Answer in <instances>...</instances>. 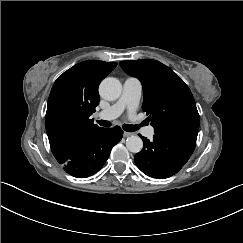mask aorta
Returning <instances> with one entry per match:
<instances>
[{"mask_svg": "<svg viewBox=\"0 0 243 243\" xmlns=\"http://www.w3.org/2000/svg\"><path fill=\"white\" fill-rule=\"evenodd\" d=\"M122 92V85L116 78H106L99 86L100 96L108 101L117 100ZM143 147L141 138L137 135H132L126 139V148L133 153H138Z\"/></svg>", "mask_w": 243, "mask_h": 243, "instance_id": "1", "label": "aorta"}]
</instances>
